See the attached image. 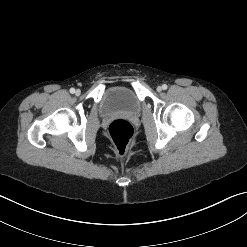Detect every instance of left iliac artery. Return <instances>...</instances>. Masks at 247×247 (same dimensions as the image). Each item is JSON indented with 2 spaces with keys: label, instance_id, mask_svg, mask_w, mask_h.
<instances>
[{
  "label": "left iliac artery",
  "instance_id": "left-iliac-artery-1",
  "mask_svg": "<svg viewBox=\"0 0 247 247\" xmlns=\"http://www.w3.org/2000/svg\"><path fill=\"white\" fill-rule=\"evenodd\" d=\"M167 88H168V86H167L166 84H163V85H162V89H163V90H166Z\"/></svg>",
  "mask_w": 247,
  "mask_h": 247
}]
</instances>
